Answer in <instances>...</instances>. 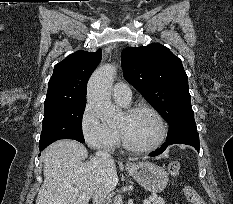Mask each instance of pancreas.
Segmentation results:
<instances>
[{
	"instance_id": "cf45deb5",
	"label": "pancreas",
	"mask_w": 233,
	"mask_h": 204,
	"mask_svg": "<svg viewBox=\"0 0 233 204\" xmlns=\"http://www.w3.org/2000/svg\"><path fill=\"white\" fill-rule=\"evenodd\" d=\"M150 204H165V200L162 197L157 196L156 194H153L150 197Z\"/></svg>"
}]
</instances>
